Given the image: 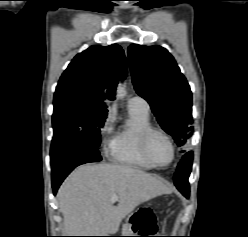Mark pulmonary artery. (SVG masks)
Listing matches in <instances>:
<instances>
[{"label":"pulmonary artery","mask_w":248,"mask_h":237,"mask_svg":"<svg viewBox=\"0 0 248 237\" xmlns=\"http://www.w3.org/2000/svg\"><path fill=\"white\" fill-rule=\"evenodd\" d=\"M128 106H136V107L142 108L144 110H148V111L150 108L148 102L140 96H134V97L130 98L128 100Z\"/></svg>","instance_id":"pulmonary-artery-1"}]
</instances>
